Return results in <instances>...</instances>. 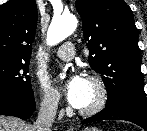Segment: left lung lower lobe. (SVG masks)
I'll use <instances>...</instances> for the list:
<instances>
[{"label":"left lung lower lobe","instance_id":"left-lung-lower-lobe-1","mask_svg":"<svg viewBox=\"0 0 147 131\" xmlns=\"http://www.w3.org/2000/svg\"><path fill=\"white\" fill-rule=\"evenodd\" d=\"M100 120L130 121L147 131V104L123 103L106 107L96 115L83 120L82 124H88Z\"/></svg>","mask_w":147,"mask_h":131}]
</instances>
